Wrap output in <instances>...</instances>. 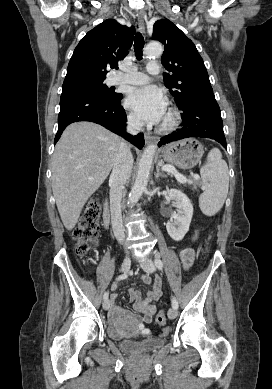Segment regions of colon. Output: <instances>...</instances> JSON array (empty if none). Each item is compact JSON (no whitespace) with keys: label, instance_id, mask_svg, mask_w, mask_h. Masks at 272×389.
I'll return each instance as SVG.
<instances>
[{"label":"colon","instance_id":"colon-1","mask_svg":"<svg viewBox=\"0 0 272 389\" xmlns=\"http://www.w3.org/2000/svg\"><path fill=\"white\" fill-rule=\"evenodd\" d=\"M99 214L100 206L97 203L90 204L82 214L73 233L77 254L85 255L98 244ZM155 321L159 326L166 324L163 311L157 313Z\"/></svg>","mask_w":272,"mask_h":389}]
</instances>
